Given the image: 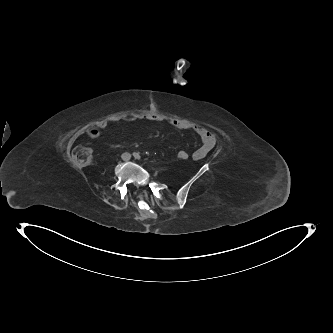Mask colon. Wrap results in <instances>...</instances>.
<instances>
[{
  "label": "colon",
  "instance_id": "obj_1",
  "mask_svg": "<svg viewBox=\"0 0 333 333\" xmlns=\"http://www.w3.org/2000/svg\"><path fill=\"white\" fill-rule=\"evenodd\" d=\"M189 156H190L189 152L187 151L185 152V150L183 149L177 152L176 154L177 159L183 161L188 160ZM92 159H93L92 150L87 147L83 146L76 147L72 153L73 162L81 167L88 166L92 162Z\"/></svg>",
  "mask_w": 333,
  "mask_h": 333
}]
</instances>
